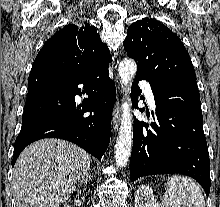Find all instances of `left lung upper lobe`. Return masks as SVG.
I'll use <instances>...</instances> for the list:
<instances>
[{
  "mask_svg": "<svg viewBox=\"0 0 220 207\" xmlns=\"http://www.w3.org/2000/svg\"><path fill=\"white\" fill-rule=\"evenodd\" d=\"M127 34L124 49L137 62V74L147 77L150 83L175 77L196 80L182 41L165 25L143 18L133 23Z\"/></svg>",
  "mask_w": 220,
  "mask_h": 207,
  "instance_id": "1",
  "label": "left lung upper lobe"
}]
</instances>
